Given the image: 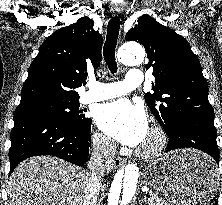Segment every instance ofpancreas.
<instances>
[{
    "instance_id": "cf45deb5",
    "label": "pancreas",
    "mask_w": 222,
    "mask_h": 205,
    "mask_svg": "<svg viewBox=\"0 0 222 205\" xmlns=\"http://www.w3.org/2000/svg\"><path fill=\"white\" fill-rule=\"evenodd\" d=\"M149 205H167V202L159 196L152 194L149 197Z\"/></svg>"
}]
</instances>
